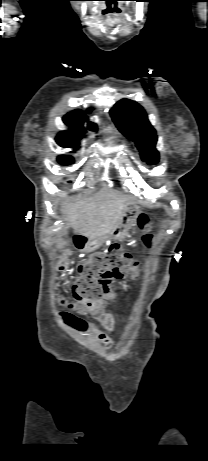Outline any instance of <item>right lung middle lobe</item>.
Instances as JSON below:
<instances>
[{
    "instance_id": "obj_1",
    "label": "right lung middle lobe",
    "mask_w": 208,
    "mask_h": 461,
    "mask_svg": "<svg viewBox=\"0 0 208 461\" xmlns=\"http://www.w3.org/2000/svg\"><path fill=\"white\" fill-rule=\"evenodd\" d=\"M79 139H71V138H68V137H64V136H60L58 135L56 137V141L57 143L62 146V147H73V148H77L79 142H78ZM58 161L60 164L62 165H68V164H72L74 163V159L73 157L71 156H68V155H61L58 157Z\"/></svg>"
}]
</instances>
